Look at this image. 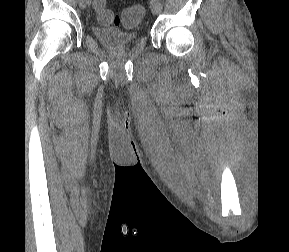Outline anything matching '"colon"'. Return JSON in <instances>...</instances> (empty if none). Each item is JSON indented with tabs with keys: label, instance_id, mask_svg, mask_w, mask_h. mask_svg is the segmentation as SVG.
Listing matches in <instances>:
<instances>
[{
	"label": "colon",
	"instance_id": "5ec220e1",
	"mask_svg": "<svg viewBox=\"0 0 289 252\" xmlns=\"http://www.w3.org/2000/svg\"><path fill=\"white\" fill-rule=\"evenodd\" d=\"M106 0H94L93 8L97 13L98 20L106 25L115 24L125 28L138 25L144 15V9L140 5H133L124 10L120 15H114L105 6Z\"/></svg>",
	"mask_w": 289,
	"mask_h": 252
}]
</instances>
